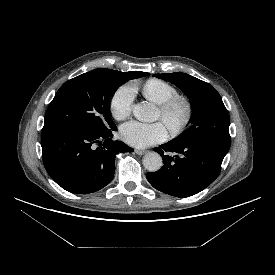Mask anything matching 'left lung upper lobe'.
<instances>
[{
  "label": "left lung upper lobe",
  "instance_id": "1",
  "mask_svg": "<svg viewBox=\"0 0 275 275\" xmlns=\"http://www.w3.org/2000/svg\"><path fill=\"white\" fill-rule=\"evenodd\" d=\"M153 76L175 84L186 94L193 107L191 126L172 141L230 148L229 113L213 86L182 72Z\"/></svg>",
  "mask_w": 275,
  "mask_h": 275
}]
</instances>
